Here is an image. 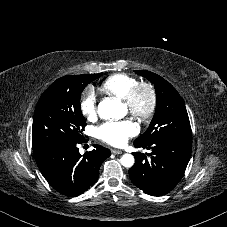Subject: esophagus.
I'll list each match as a JSON object with an SVG mask.
<instances>
[{"mask_svg":"<svg viewBox=\"0 0 227 227\" xmlns=\"http://www.w3.org/2000/svg\"><path fill=\"white\" fill-rule=\"evenodd\" d=\"M111 152H112L113 154H122V151L117 150V149H111Z\"/></svg>","mask_w":227,"mask_h":227,"instance_id":"1","label":"esophagus"}]
</instances>
